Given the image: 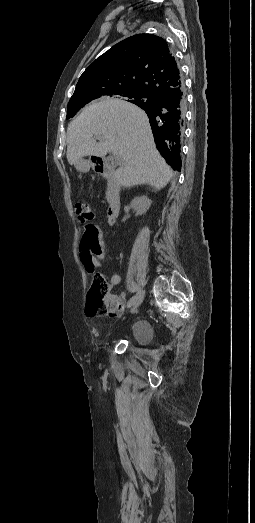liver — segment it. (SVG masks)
<instances>
[{
  "mask_svg": "<svg viewBox=\"0 0 255 523\" xmlns=\"http://www.w3.org/2000/svg\"><path fill=\"white\" fill-rule=\"evenodd\" d=\"M107 152L123 160V168L117 170L116 176L125 188L150 184L162 190L173 176L156 150L147 114L117 98L92 102L67 128L66 156L70 166L84 156L104 158Z\"/></svg>",
  "mask_w": 255,
  "mask_h": 523,
  "instance_id": "obj_1",
  "label": "liver"
}]
</instances>
